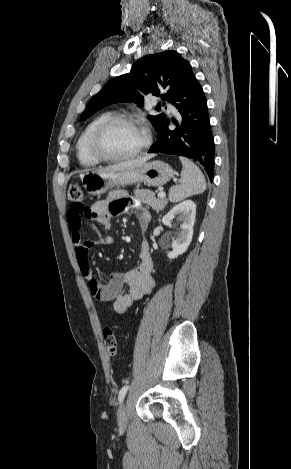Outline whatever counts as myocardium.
<instances>
[{
    "label": "myocardium",
    "instance_id": "1",
    "mask_svg": "<svg viewBox=\"0 0 291 469\" xmlns=\"http://www.w3.org/2000/svg\"><path fill=\"white\" fill-rule=\"evenodd\" d=\"M129 123L140 127L145 134L143 144L134 152L123 156H114L109 154L104 146V139L107 131L117 123ZM151 144V134L149 130L134 116L128 114H114L102 121L95 129L91 138V149L96 157L106 162H122L133 159L144 153Z\"/></svg>",
    "mask_w": 291,
    "mask_h": 469
}]
</instances>
